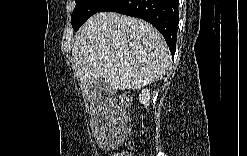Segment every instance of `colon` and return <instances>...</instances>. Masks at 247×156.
I'll list each match as a JSON object with an SVG mask.
<instances>
[{"label": "colon", "instance_id": "1", "mask_svg": "<svg viewBox=\"0 0 247 156\" xmlns=\"http://www.w3.org/2000/svg\"><path fill=\"white\" fill-rule=\"evenodd\" d=\"M118 101L120 107H128L131 102V96L129 93H122L118 95ZM118 111L114 112V121L116 122L118 119L116 118V114ZM133 148V143L129 142L124 149H122L116 156L129 155L131 149Z\"/></svg>", "mask_w": 247, "mask_h": 156}]
</instances>
